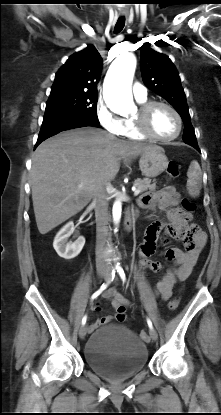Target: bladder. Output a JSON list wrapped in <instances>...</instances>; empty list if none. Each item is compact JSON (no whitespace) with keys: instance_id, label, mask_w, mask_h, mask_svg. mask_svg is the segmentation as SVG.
<instances>
[{"instance_id":"1","label":"bladder","mask_w":221,"mask_h":415,"mask_svg":"<svg viewBox=\"0 0 221 415\" xmlns=\"http://www.w3.org/2000/svg\"><path fill=\"white\" fill-rule=\"evenodd\" d=\"M87 365L109 379L130 377L148 362L145 343L130 329L120 324L101 327L92 333L85 349Z\"/></svg>"}]
</instances>
